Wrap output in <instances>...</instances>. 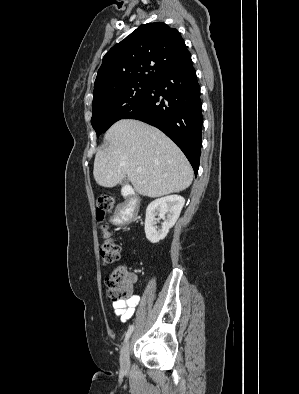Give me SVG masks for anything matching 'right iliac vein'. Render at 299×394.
I'll use <instances>...</instances> for the list:
<instances>
[{"instance_id":"63e3f726","label":"right iliac vein","mask_w":299,"mask_h":394,"mask_svg":"<svg viewBox=\"0 0 299 394\" xmlns=\"http://www.w3.org/2000/svg\"><path fill=\"white\" fill-rule=\"evenodd\" d=\"M120 364L123 369L129 367V341L125 343L120 355Z\"/></svg>"}]
</instances>
